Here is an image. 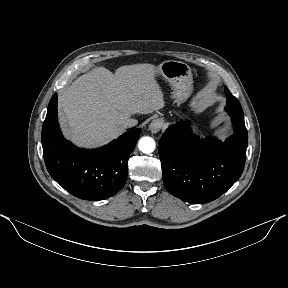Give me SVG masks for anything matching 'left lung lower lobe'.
Instances as JSON below:
<instances>
[{
	"label": "left lung lower lobe",
	"mask_w": 288,
	"mask_h": 288,
	"mask_svg": "<svg viewBox=\"0 0 288 288\" xmlns=\"http://www.w3.org/2000/svg\"><path fill=\"white\" fill-rule=\"evenodd\" d=\"M234 134L225 142L200 140L185 123L170 126L158 144L167 190L189 203L210 202L225 193L241 176L248 134L244 116L229 113Z\"/></svg>",
	"instance_id": "0a47b994"
}]
</instances>
